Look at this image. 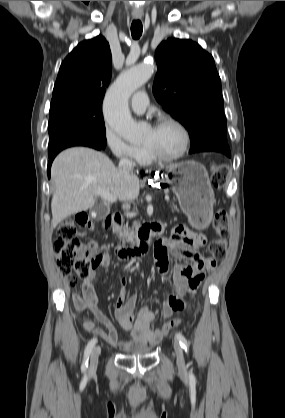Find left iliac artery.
Returning <instances> with one entry per match:
<instances>
[{"mask_svg": "<svg viewBox=\"0 0 285 418\" xmlns=\"http://www.w3.org/2000/svg\"><path fill=\"white\" fill-rule=\"evenodd\" d=\"M175 338L179 341L182 348L186 352H189V343H188L187 339L184 337V335L181 334V333H176ZM189 377H190L191 380L195 379L194 374L192 373V370L189 371Z\"/></svg>", "mask_w": 285, "mask_h": 418, "instance_id": "obj_1", "label": "left iliac artery"}]
</instances>
